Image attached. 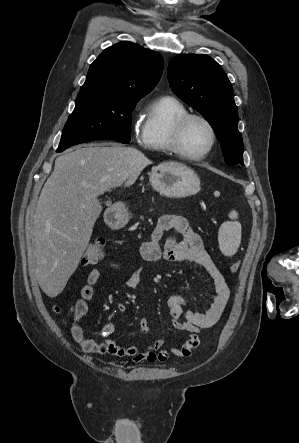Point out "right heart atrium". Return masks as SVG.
Returning a JSON list of instances; mask_svg holds the SVG:
<instances>
[{"label":"right heart atrium","instance_id":"obj_1","mask_svg":"<svg viewBox=\"0 0 299 443\" xmlns=\"http://www.w3.org/2000/svg\"><path fill=\"white\" fill-rule=\"evenodd\" d=\"M137 110V106L134 108L133 113Z\"/></svg>","mask_w":299,"mask_h":443}]
</instances>
